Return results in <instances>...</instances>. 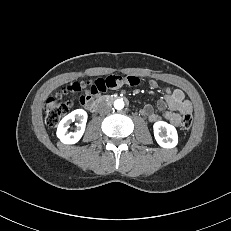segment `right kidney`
I'll list each match as a JSON object with an SVG mask.
<instances>
[{"instance_id": "ca27d5eb", "label": "right kidney", "mask_w": 231, "mask_h": 231, "mask_svg": "<svg viewBox=\"0 0 231 231\" xmlns=\"http://www.w3.org/2000/svg\"><path fill=\"white\" fill-rule=\"evenodd\" d=\"M75 120L78 121L76 123V130L74 132H68L70 128V124ZM87 122V113L83 109H77L66 115L59 123L57 128V137L64 144H75L77 143L84 131Z\"/></svg>"}]
</instances>
